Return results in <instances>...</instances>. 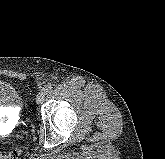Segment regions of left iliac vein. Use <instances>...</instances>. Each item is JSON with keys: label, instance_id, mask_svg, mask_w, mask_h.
Instances as JSON below:
<instances>
[{"label": "left iliac vein", "instance_id": "4c4485c4", "mask_svg": "<svg viewBox=\"0 0 165 159\" xmlns=\"http://www.w3.org/2000/svg\"><path fill=\"white\" fill-rule=\"evenodd\" d=\"M46 92L42 89L36 96V103L42 104L45 101Z\"/></svg>", "mask_w": 165, "mask_h": 159}]
</instances>
